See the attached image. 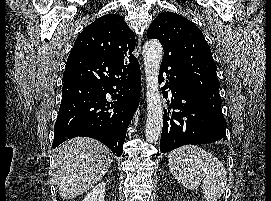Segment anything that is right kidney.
I'll return each mask as SVG.
<instances>
[{
	"label": "right kidney",
	"mask_w": 271,
	"mask_h": 201,
	"mask_svg": "<svg viewBox=\"0 0 271 201\" xmlns=\"http://www.w3.org/2000/svg\"><path fill=\"white\" fill-rule=\"evenodd\" d=\"M106 183L97 184L82 201H105Z\"/></svg>",
	"instance_id": "obj_1"
}]
</instances>
